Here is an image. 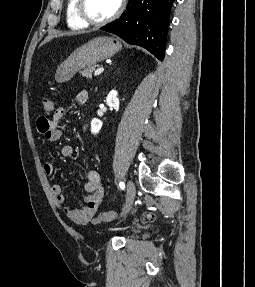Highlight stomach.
<instances>
[{
	"instance_id": "obj_1",
	"label": "stomach",
	"mask_w": 255,
	"mask_h": 287,
	"mask_svg": "<svg viewBox=\"0 0 255 287\" xmlns=\"http://www.w3.org/2000/svg\"><path fill=\"white\" fill-rule=\"evenodd\" d=\"M121 48L122 46L117 38H108V36L93 38V40L72 52L65 62V68L59 70L55 78L57 82H68L79 70L91 68V66H95L102 60L112 58Z\"/></svg>"
}]
</instances>
